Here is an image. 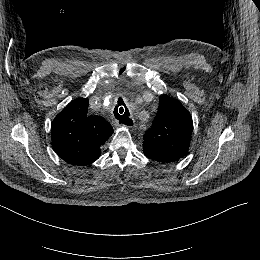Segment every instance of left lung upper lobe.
<instances>
[{"instance_id": "obj_1", "label": "left lung upper lobe", "mask_w": 260, "mask_h": 260, "mask_svg": "<svg viewBox=\"0 0 260 260\" xmlns=\"http://www.w3.org/2000/svg\"><path fill=\"white\" fill-rule=\"evenodd\" d=\"M193 122L176 99L162 95L151 127L144 134V154L162 164L178 162L188 152Z\"/></svg>"}]
</instances>
